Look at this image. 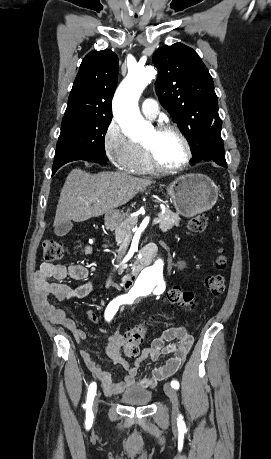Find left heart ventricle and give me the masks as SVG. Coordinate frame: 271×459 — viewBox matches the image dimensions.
Instances as JSON below:
<instances>
[{
  "mask_svg": "<svg viewBox=\"0 0 271 459\" xmlns=\"http://www.w3.org/2000/svg\"><path fill=\"white\" fill-rule=\"evenodd\" d=\"M145 143L153 146L161 158L168 164H175L182 161L186 155L185 145L178 134L169 131L158 135L153 129Z\"/></svg>",
  "mask_w": 271,
  "mask_h": 459,
  "instance_id": "left-heart-ventricle-1",
  "label": "left heart ventricle"
}]
</instances>
